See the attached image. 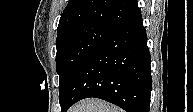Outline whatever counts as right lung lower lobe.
<instances>
[{
	"mask_svg": "<svg viewBox=\"0 0 193 112\" xmlns=\"http://www.w3.org/2000/svg\"><path fill=\"white\" fill-rule=\"evenodd\" d=\"M151 57L141 14L115 30L80 68L61 106L96 97L127 112H149Z\"/></svg>",
	"mask_w": 193,
	"mask_h": 112,
	"instance_id": "98d812e1",
	"label": "right lung lower lobe"
}]
</instances>
